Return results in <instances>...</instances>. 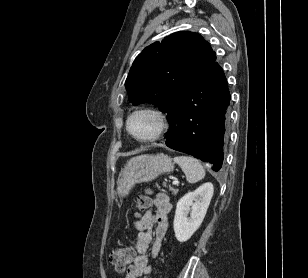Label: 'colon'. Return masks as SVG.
<instances>
[{
  "label": "colon",
  "instance_id": "colon-1",
  "mask_svg": "<svg viewBox=\"0 0 308 278\" xmlns=\"http://www.w3.org/2000/svg\"><path fill=\"white\" fill-rule=\"evenodd\" d=\"M150 204V191L146 190L138 196L137 208L143 210L148 208ZM135 253V248L132 246L118 248L111 253L110 261L118 271H125L132 265Z\"/></svg>",
  "mask_w": 308,
  "mask_h": 278
}]
</instances>
